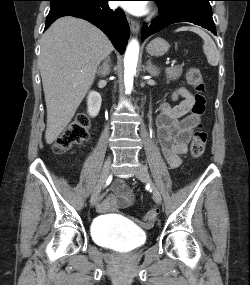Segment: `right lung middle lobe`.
Returning <instances> with one entry per match:
<instances>
[{
	"label": "right lung middle lobe",
	"instance_id": "dd1d6c3e",
	"mask_svg": "<svg viewBox=\"0 0 250 285\" xmlns=\"http://www.w3.org/2000/svg\"><path fill=\"white\" fill-rule=\"evenodd\" d=\"M50 11L76 4H87L93 0H50Z\"/></svg>",
	"mask_w": 250,
	"mask_h": 285
}]
</instances>
